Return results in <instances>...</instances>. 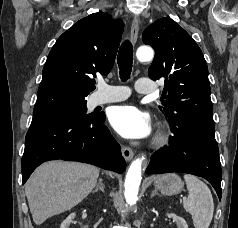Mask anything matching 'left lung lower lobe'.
Masks as SVG:
<instances>
[{
	"mask_svg": "<svg viewBox=\"0 0 238 228\" xmlns=\"http://www.w3.org/2000/svg\"><path fill=\"white\" fill-rule=\"evenodd\" d=\"M174 136L170 145L155 152L147 167L148 174L183 172L208 180L221 199V164L214 128L170 125Z\"/></svg>",
	"mask_w": 238,
	"mask_h": 228,
	"instance_id": "left-lung-lower-lobe-1",
	"label": "left lung lower lobe"
}]
</instances>
